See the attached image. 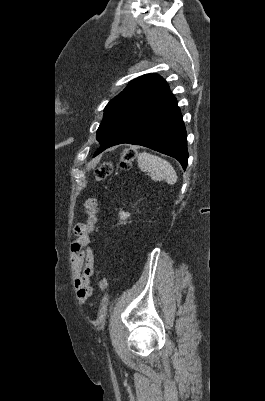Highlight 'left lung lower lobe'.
I'll return each instance as SVG.
<instances>
[{"mask_svg": "<svg viewBox=\"0 0 265 401\" xmlns=\"http://www.w3.org/2000/svg\"><path fill=\"white\" fill-rule=\"evenodd\" d=\"M123 143L145 146L171 156L186 169L187 133L177 100L169 89L132 115L101 144L95 156Z\"/></svg>", "mask_w": 265, "mask_h": 401, "instance_id": "obj_1", "label": "left lung lower lobe"}]
</instances>
